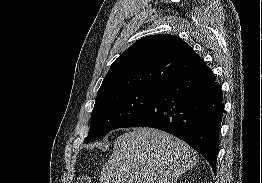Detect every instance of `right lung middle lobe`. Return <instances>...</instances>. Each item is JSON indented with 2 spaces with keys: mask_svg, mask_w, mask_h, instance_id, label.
Instances as JSON below:
<instances>
[{
  "mask_svg": "<svg viewBox=\"0 0 262 183\" xmlns=\"http://www.w3.org/2000/svg\"><path fill=\"white\" fill-rule=\"evenodd\" d=\"M156 93L157 90L152 89H128L97 97L84 142L102 138L110 131L124 127L144 110Z\"/></svg>",
  "mask_w": 262,
  "mask_h": 183,
  "instance_id": "right-lung-middle-lobe-1",
  "label": "right lung middle lobe"
}]
</instances>
